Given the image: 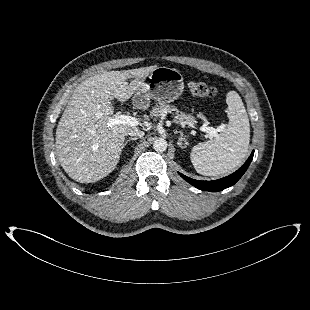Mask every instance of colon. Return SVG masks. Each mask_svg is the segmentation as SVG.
<instances>
[{
	"mask_svg": "<svg viewBox=\"0 0 310 310\" xmlns=\"http://www.w3.org/2000/svg\"><path fill=\"white\" fill-rule=\"evenodd\" d=\"M189 92L199 98L214 99L219 96V92L214 87H209L203 83L191 81L188 83Z\"/></svg>",
	"mask_w": 310,
	"mask_h": 310,
	"instance_id": "colon-1",
	"label": "colon"
}]
</instances>
